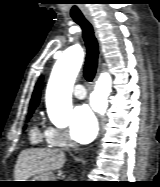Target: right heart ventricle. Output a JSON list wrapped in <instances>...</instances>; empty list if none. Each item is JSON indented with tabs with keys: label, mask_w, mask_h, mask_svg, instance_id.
<instances>
[{
	"label": "right heart ventricle",
	"mask_w": 160,
	"mask_h": 187,
	"mask_svg": "<svg viewBox=\"0 0 160 187\" xmlns=\"http://www.w3.org/2000/svg\"><path fill=\"white\" fill-rule=\"evenodd\" d=\"M44 134H42L38 128L34 127L32 130H31V133H30V140L33 144H39L43 141L44 139Z\"/></svg>",
	"instance_id": "right-heart-ventricle-1"
}]
</instances>
